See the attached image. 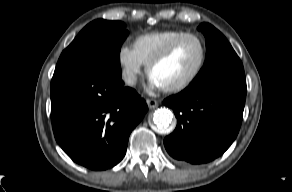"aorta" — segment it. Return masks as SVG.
Masks as SVG:
<instances>
[{
    "mask_svg": "<svg viewBox=\"0 0 292 192\" xmlns=\"http://www.w3.org/2000/svg\"><path fill=\"white\" fill-rule=\"evenodd\" d=\"M173 114L170 110L161 108L153 114V122L158 133L167 134L171 132Z\"/></svg>",
    "mask_w": 292,
    "mask_h": 192,
    "instance_id": "obj_1",
    "label": "aorta"
}]
</instances>
